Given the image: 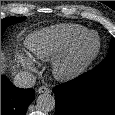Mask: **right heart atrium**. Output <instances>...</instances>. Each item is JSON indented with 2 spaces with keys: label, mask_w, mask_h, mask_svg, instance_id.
Instances as JSON below:
<instances>
[{
  "label": "right heart atrium",
  "mask_w": 115,
  "mask_h": 115,
  "mask_svg": "<svg viewBox=\"0 0 115 115\" xmlns=\"http://www.w3.org/2000/svg\"><path fill=\"white\" fill-rule=\"evenodd\" d=\"M17 59L23 67L30 69V70H35V64H34L33 59L26 53L19 52L17 54Z\"/></svg>",
  "instance_id": "right-heart-atrium-1"
}]
</instances>
